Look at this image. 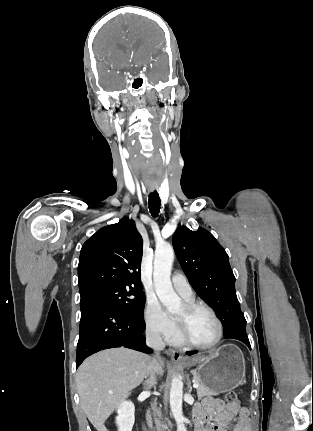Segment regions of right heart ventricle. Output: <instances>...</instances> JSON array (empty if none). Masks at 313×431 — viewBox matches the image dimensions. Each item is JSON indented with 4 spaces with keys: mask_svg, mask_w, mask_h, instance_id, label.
<instances>
[{
    "mask_svg": "<svg viewBox=\"0 0 313 431\" xmlns=\"http://www.w3.org/2000/svg\"><path fill=\"white\" fill-rule=\"evenodd\" d=\"M185 300L188 303H192L193 302V298L192 299H185ZM167 341L170 344H173V345H181L182 344L181 341H180V339H179V337H178V334H177L176 325H175V330H174L173 334L167 339Z\"/></svg>",
    "mask_w": 313,
    "mask_h": 431,
    "instance_id": "1",
    "label": "right heart ventricle"
}]
</instances>
